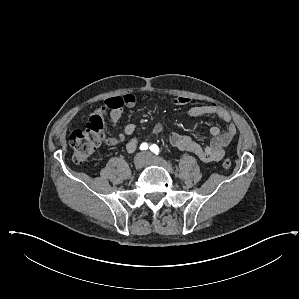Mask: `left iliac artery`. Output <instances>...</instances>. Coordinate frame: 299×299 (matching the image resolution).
Returning <instances> with one entry per match:
<instances>
[{
    "mask_svg": "<svg viewBox=\"0 0 299 299\" xmlns=\"http://www.w3.org/2000/svg\"><path fill=\"white\" fill-rule=\"evenodd\" d=\"M150 150H151L154 154H156V155H158L159 152H160L159 147H158L156 144H152V145L150 146Z\"/></svg>",
    "mask_w": 299,
    "mask_h": 299,
    "instance_id": "44dca946",
    "label": "left iliac artery"
}]
</instances>
